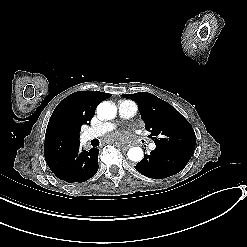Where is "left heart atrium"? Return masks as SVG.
I'll list each match as a JSON object with an SVG mask.
<instances>
[{
    "label": "left heart atrium",
    "instance_id": "left-heart-atrium-1",
    "mask_svg": "<svg viewBox=\"0 0 247 247\" xmlns=\"http://www.w3.org/2000/svg\"><path fill=\"white\" fill-rule=\"evenodd\" d=\"M102 133L98 134L101 135ZM134 135V130L119 128L112 133L102 135V143L123 147Z\"/></svg>",
    "mask_w": 247,
    "mask_h": 247
}]
</instances>
